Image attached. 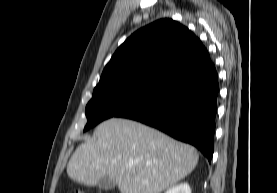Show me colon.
<instances>
[{
  "label": "colon",
  "mask_w": 277,
  "mask_h": 193,
  "mask_svg": "<svg viewBox=\"0 0 277 193\" xmlns=\"http://www.w3.org/2000/svg\"><path fill=\"white\" fill-rule=\"evenodd\" d=\"M75 193H86V192H84V191H76Z\"/></svg>",
  "instance_id": "1"
}]
</instances>
